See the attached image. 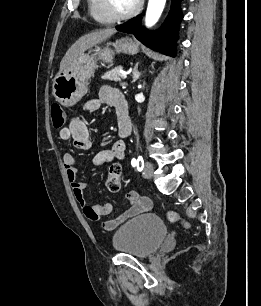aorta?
<instances>
[{"instance_id":"aorta-1","label":"aorta","mask_w":261,"mask_h":306,"mask_svg":"<svg viewBox=\"0 0 261 306\" xmlns=\"http://www.w3.org/2000/svg\"><path fill=\"white\" fill-rule=\"evenodd\" d=\"M166 0H149L146 11L145 24L147 27H152L159 20Z\"/></svg>"}]
</instances>
